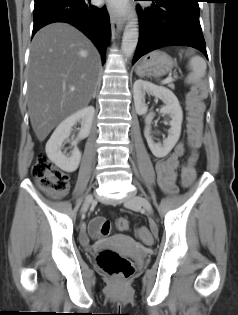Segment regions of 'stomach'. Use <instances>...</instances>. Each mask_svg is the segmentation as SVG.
<instances>
[{"mask_svg":"<svg viewBox=\"0 0 238 315\" xmlns=\"http://www.w3.org/2000/svg\"><path fill=\"white\" fill-rule=\"evenodd\" d=\"M174 67L173 59L163 51H153L146 55L137 65L138 76H163Z\"/></svg>","mask_w":238,"mask_h":315,"instance_id":"stomach-1","label":"stomach"}]
</instances>
